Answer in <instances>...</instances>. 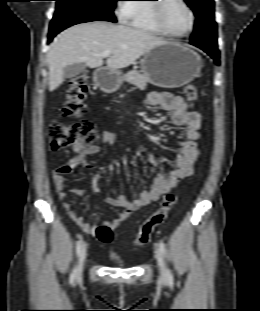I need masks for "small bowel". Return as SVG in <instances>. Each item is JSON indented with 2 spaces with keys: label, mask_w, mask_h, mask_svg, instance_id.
<instances>
[{
  "label": "small bowel",
  "mask_w": 260,
  "mask_h": 311,
  "mask_svg": "<svg viewBox=\"0 0 260 311\" xmlns=\"http://www.w3.org/2000/svg\"><path fill=\"white\" fill-rule=\"evenodd\" d=\"M146 101L150 107L158 108L162 112L169 114L171 124L185 130V140L180 142L181 148L177 156L176 167L168 176L161 173L156 174L150 188L142 191L135 200H129L122 195L106 199L107 204L123 209L116 218L105 223L113 230L122 222L129 219L134 211L158 200L160 196L171 191L181 179L189 176L192 173L193 164L199 155L200 114L188 110L187 104L182 97L174 96L170 93L151 92L148 94ZM101 141L104 144L112 145L116 143L117 136L113 132L104 131L101 134ZM74 151L75 155L71 159L54 169L52 176L53 184L58 198L62 201V207L69 218L83 232L95 234L97 226L87 222L66 201L65 181L66 176L71 174L77 167L91 169L92 164L87 160V157L98 154L100 152V146L95 144L87 148H74ZM149 159L152 163H156L154 156L150 155ZM77 192L81 193L82 191L77 190Z\"/></svg>",
  "instance_id": "small-bowel-1"
}]
</instances>
